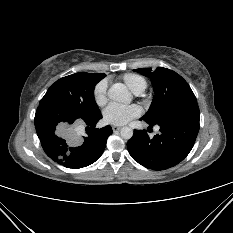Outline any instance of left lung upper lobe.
Wrapping results in <instances>:
<instances>
[{"instance_id": "5c2ea615", "label": "left lung upper lobe", "mask_w": 233, "mask_h": 233, "mask_svg": "<svg viewBox=\"0 0 233 233\" xmlns=\"http://www.w3.org/2000/svg\"><path fill=\"white\" fill-rule=\"evenodd\" d=\"M151 78L155 96L148 112L142 117L150 123H156L177 108L187 99L195 98L188 83L176 72L158 67L134 70Z\"/></svg>"}]
</instances>
